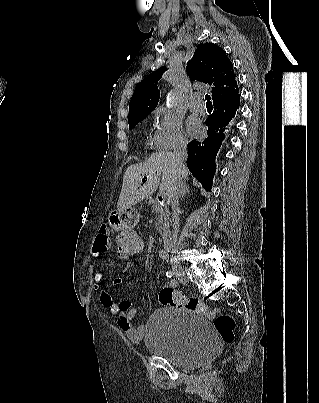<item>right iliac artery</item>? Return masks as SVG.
Returning a JSON list of instances; mask_svg holds the SVG:
<instances>
[{"mask_svg": "<svg viewBox=\"0 0 319 403\" xmlns=\"http://www.w3.org/2000/svg\"><path fill=\"white\" fill-rule=\"evenodd\" d=\"M166 276H167L168 278H171V277L173 276V272H172V271H167V272H166ZM174 285H175V286L177 285V282H176V281H174Z\"/></svg>", "mask_w": 319, "mask_h": 403, "instance_id": "right-iliac-artery-1", "label": "right iliac artery"}]
</instances>
